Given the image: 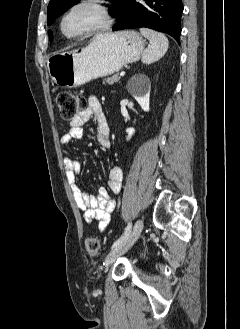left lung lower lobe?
I'll use <instances>...</instances> for the list:
<instances>
[{"instance_id":"0a47b994","label":"left lung lower lobe","mask_w":240,"mask_h":329,"mask_svg":"<svg viewBox=\"0 0 240 329\" xmlns=\"http://www.w3.org/2000/svg\"><path fill=\"white\" fill-rule=\"evenodd\" d=\"M182 12V0H126L112 29L151 28L171 35L180 44Z\"/></svg>"}]
</instances>
